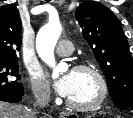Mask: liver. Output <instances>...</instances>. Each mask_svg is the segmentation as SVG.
<instances>
[{"mask_svg":"<svg viewBox=\"0 0 133 118\" xmlns=\"http://www.w3.org/2000/svg\"><path fill=\"white\" fill-rule=\"evenodd\" d=\"M0 118H29V109L23 105L0 101Z\"/></svg>","mask_w":133,"mask_h":118,"instance_id":"6515ba94","label":"liver"}]
</instances>
